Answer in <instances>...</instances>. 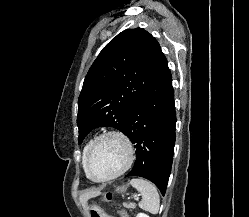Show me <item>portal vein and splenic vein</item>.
I'll use <instances>...</instances> for the list:
<instances>
[{
  "label": "portal vein and splenic vein",
  "mask_w": 249,
  "mask_h": 217,
  "mask_svg": "<svg viewBox=\"0 0 249 217\" xmlns=\"http://www.w3.org/2000/svg\"><path fill=\"white\" fill-rule=\"evenodd\" d=\"M136 199H138L139 197L138 196H135Z\"/></svg>",
  "instance_id": "obj_1"
}]
</instances>
